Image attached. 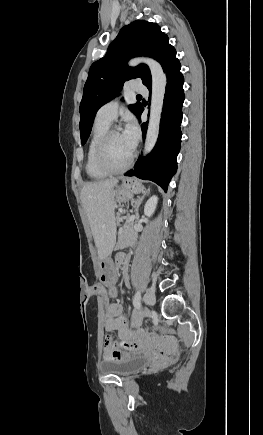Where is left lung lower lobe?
<instances>
[{"label": "left lung lower lobe", "mask_w": 263, "mask_h": 435, "mask_svg": "<svg viewBox=\"0 0 263 435\" xmlns=\"http://www.w3.org/2000/svg\"><path fill=\"white\" fill-rule=\"evenodd\" d=\"M181 65L176 59L166 71L167 85L160 121L158 140L153 151L146 157H140L134 167L125 176H136L151 180L167 191L168 184L177 170V155L180 150L182 106L184 102V78ZM151 91V86L148 87ZM142 107L138 119H141ZM145 137L147 123L141 125Z\"/></svg>", "instance_id": "obj_1"}]
</instances>
